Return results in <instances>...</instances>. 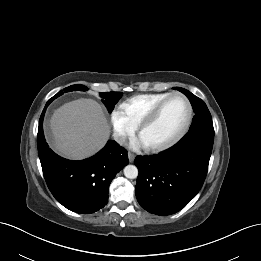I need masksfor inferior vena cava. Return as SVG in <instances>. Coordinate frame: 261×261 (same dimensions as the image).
Instances as JSON below:
<instances>
[{
    "label": "inferior vena cava",
    "instance_id": "obj_1",
    "mask_svg": "<svg viewBox=\"0 0 261 261\" xmlns=\"http://www.w3.org/2000/svg\"><path fill=\"white\" fill-rule=\"evenodd\" d=\"M115 140L120 143V144H124L126 141V136L125 135H120V134H116L114 136Z\"/></svg>",
    "mask_w": 261,
    "mask_h": 261
}]
</instances>
